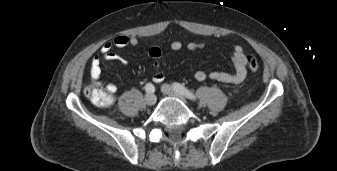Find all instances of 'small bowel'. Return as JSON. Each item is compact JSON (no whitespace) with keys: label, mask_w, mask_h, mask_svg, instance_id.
Returning a JSON list of instances; mask_svg holds the SVG:
<instances>
[{"label":"small bowel","mask_w":337,"mask_h":171,"mask_svg":"<svg viewBox=\"0 0 337 171\" xmlns=\"http://www.w3.org/2000/svg\"><path fill=\"white\" fill-rule=\"evenodd\" d=\"M139 44V40L135 36L120 34L117 35L112 41L106 42L100 49V54L92 58L90 63V74L94 80H99L102 75L101 63L103 61H117L123 65L126 64V59L114 51L115 48L123 49L126 47H135ZM170 47L174 51L181 50L183 44L181 41L175 40L171 42ZM206 47V44L198 41H191L187 44V48L190 51L200 50ZM148 54L152 59V66L155 70L153 75V81L155 83H161L165 75L161 70L160 58L162 51L159 47L153 46L148 50ZM231 60L234 66L233 72H221L212 71L206 72L203 70H197L193 76L197 81H205L207 79L221 82L230 85L241 84L247 75V54L245 49L240 45H235L232 48ZM106 90L114 94L117 92V86L115 84H107Z\"/></svg>","instance_id":"obj_1"}]
</instances>
